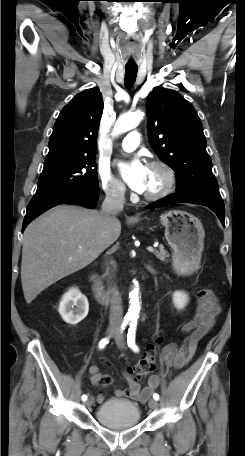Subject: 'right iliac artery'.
<instances>
[{
    "instance_id": "obj_1",
    "label": "right iliac artery",
    "mask_w": 245,
    "mask_h": 456,
    "mask_svg": "<svg viewBox=\"0 0 245 456\" xmlns=\"http://www.w3.org/2000/svg\"><path fill=\"white\" fill-rule=\"evenodd\" d=\"M128 323H129V319H125L123 321V323L121 324V327H120V332H123V330L126 328ZM108 343H109V338L101 339V341L99 342V348L103 349ZM81 399H82V401H86L87 400V395H85V394L82 395Z\"/></svg>"
}]
</instances>
